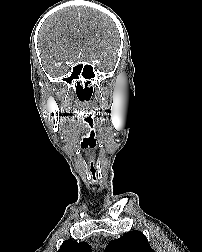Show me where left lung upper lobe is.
Returning a JSON list of instances; mask_svg holds the SVG:
<instances>
[{
	"instance_id": "5c2ea615",
	"label": "left lung upper lobe",
	"mask_w": 202,
	"mask_h": 252,
	"mask_svg": "<svg viewBox=\"0 0 202 252\" xmlns=\"http://www.w3.org/2000/svg\"><path fill=\"white\" fill-rule=\"evenodd\" d=\"M106 252H154L140 231H130L109 243Z\"/></svg>"
}]
</instances>
